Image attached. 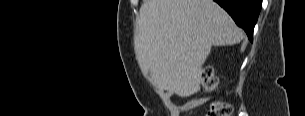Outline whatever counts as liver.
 <instances>
[{
    "mask_svg": "<svg viewBox=\"0 0 305 116\" xmlns=\"http://www.w3.org/2000/svg\"><path fill=\"white\" fill-rule=\"evenodd\" d=\"M244 38L213 0H145L137 18L134 48L141 71L159 88L188 97L200 90L201 67L211 46Z\"/></svg>",
    "mask_w": 305,
    "mask_h": 116,
    "instance_id": "6515ba94",
    "label": "liver"
}]
</instances>
